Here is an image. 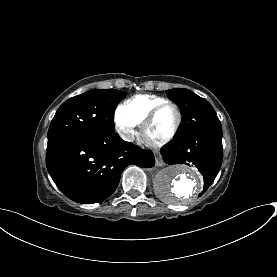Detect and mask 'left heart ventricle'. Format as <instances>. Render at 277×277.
I'll return each mask as SVG.
<instances>
[{"label":"left heart ventricle","mask_w":277,"mask_h":277,"mask_svg":"<svg viewBox=\"0 0 277 277\" xmlns=\"http://www.w3.org/2000/svg\"><path fill=\"white\" fill-rule=\"evenodd\" d=\"M177 121V114L174 107L164 108L158 115L155 122L146 131V138L150 141H158L170 134Z\"/></svg>","instance_id":"left-heart-ventricle-1"}]
</instances>
